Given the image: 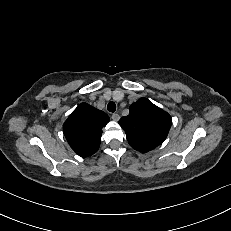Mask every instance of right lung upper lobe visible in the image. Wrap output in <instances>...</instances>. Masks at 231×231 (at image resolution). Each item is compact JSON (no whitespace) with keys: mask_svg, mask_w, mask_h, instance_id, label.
Segmentation results:
<instances>
[{"mask_svg":"<svg viewBox=\"0 0 231 231\" xmlns=\"http://www.w3.org/2000/svg\"><path fill=\"white\" fill-rule=\"evenodd\" d=\"M109 122V116L87 103H81L69 115L63 125L64 135L71 148L81 157L97 152L102 128Z\"/></svg>","mask_w":231,"mask_h":231,"instance_id":"right-lung-upper-lobe-1","label":"right lung upper lobe"}]
</instances>
